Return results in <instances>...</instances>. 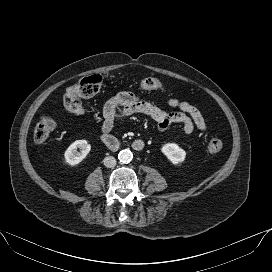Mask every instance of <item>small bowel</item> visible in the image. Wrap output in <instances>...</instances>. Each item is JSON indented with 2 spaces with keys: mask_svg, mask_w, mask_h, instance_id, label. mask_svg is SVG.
I'll use <instances>...</instances> for the list:
<instances>
[{
  "mask_svg": "<svg viewBox=\"0 0 272 272\" xmlns=\"http://www.w3.org/2000/svg\"><path fill=\"white\" fill-rule=\"evenodd\" d=\"M168 106L176 109L169 112L155 104L142 100L131 92H121L110 98L103 107L102 133H110L118 120L135 114L149 116L157 125L160 132L165 131L171 124L182 125L185 134H191L194 129L205 132L207 125L201 112L194 105L178 99H169Z\"/></svg>",
  "mask_w": 272,
  "mask_h": 272,
  "instance_id": "c3829d8e",
  "label": "small bowel"
}]
</instances>
